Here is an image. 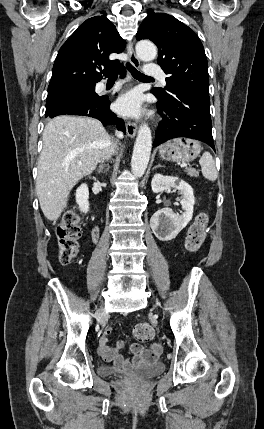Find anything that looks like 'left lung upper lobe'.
I'll return each mask as SVG.
<instances>
[{"label":"left lung upper lobe","instance_id":"obj_1","mask_svg":"<svg viewBox=\"0 0 264 429\" xmlns=\"http://www.w3.org/2000/svg\"><path fill=\"white\" fill-rule=\"evenodd\" d=\"M147 13L136 38L150 39L157 45V62L168 74L165 89L155 88L152 93L167 100L174 93L175 85H184L209 95L207 58L199 37L171 15L152 9Z\"/></svg>","mask_w":264,"mask_h":429}]
</instances>
